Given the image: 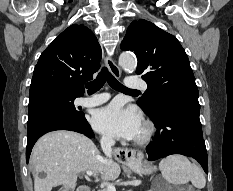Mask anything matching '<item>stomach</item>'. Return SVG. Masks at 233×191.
Here are the masks:
<instances>
[{
	"mask_svg": "<svg viewBox=\"0 0 233 191\" xmlns=\"http://www.w3.org/2000/svg\"><path fill=\"white\" fill-rule=\"evenodd\" d=\"M132 170H134L136 173L142 175V174H150L153 171L156 170L155 167H146L143 166L140 162H134L129 164Z\"/></svg>",
	"mask_w": 233,
	"mask_h": 191,
	"instance_id": "stomach-1",
	"label": "stomach"
}]
</instances>
